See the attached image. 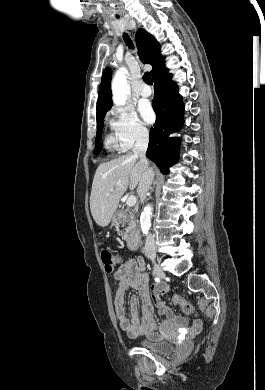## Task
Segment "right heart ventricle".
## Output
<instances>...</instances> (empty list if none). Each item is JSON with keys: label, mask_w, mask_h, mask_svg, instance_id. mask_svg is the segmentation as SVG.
I'll return each mask as SVG.
<instances>
[{"label": "right heart ventricle", "mask_w": 265, "mask_h": 390, "mask_svg": "<svg viewBox=\"0 0 265 390\" xmlns=\"http://www.w3.org/2000/svg\"><path fill=\"white\" fill-rule=\"evenodd\" d=\"M115 139H114V137L112 136V135H107V137H106V145L108 146V147H111V146H114L115 145Z\"/></svg>", "instance_id": "e07e8e85"}]
</instances>
